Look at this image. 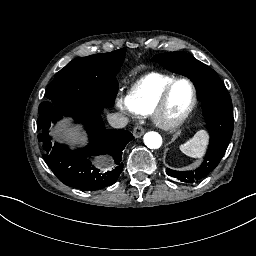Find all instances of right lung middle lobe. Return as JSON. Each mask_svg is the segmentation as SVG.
<instances>
[{
  "instance_id": "obj_1",
  "label": "right lung middle lobe",
  "mask_w": 256,
  "mask_h": 256,
  "mask_svg": "<svg viewBox=\"0 0 256 256\" xmlns=\"http://www.w3.org/2000/svg\"><path fill=\"white\" fill-rule=\"evenodd\" d=\"M126 49L79 57L56 75L39 106V119L74 106L111 107L118 89L116 74Z\"/></svg>"
}]
</instances>
